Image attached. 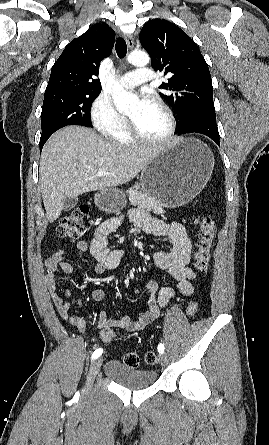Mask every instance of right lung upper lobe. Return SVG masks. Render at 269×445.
I'll return each mask as SVG.
<instances>
[{"label":"right lung upper lobe","mask_w":269,"mask_h":445,"mask_svg":"<svg viewBox=\"0 0 269 445\" xmlns=\"http://www.w3.org/2000/svg\"><path fill=\"white\" fill-rule=\"evenodd\" d=\"M114 36L112 28L99 23L73 39L54 63L45 93L101 92L99 66L111 53Z\"/></svg>","instance_id":"1"}]
</instances>
